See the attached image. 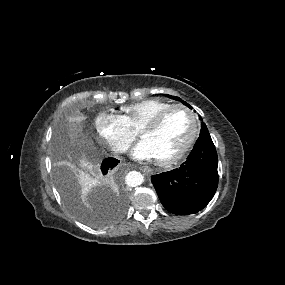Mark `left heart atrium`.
<instances>
[{
  "label": "left heart atrium",
  "mask_w": 285,
  "mask_h": 285,
  "mask_svg": "<svg viewBox=\"0 0 285 285\" xmlns=\"http://www.w3.org/2000/svg\"><path fill=\"white\" fill-rule=\"evenodd\" d=\"M131 155L137 160L150 161L155 159L148 143L144 140L140 141L134 146Z\"/></svg>",
  "instance_id": "1"
}]
</instances>
